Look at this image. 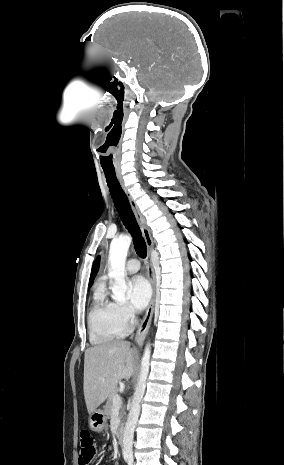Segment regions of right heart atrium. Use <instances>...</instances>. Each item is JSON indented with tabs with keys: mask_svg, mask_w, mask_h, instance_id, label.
<instances>
[{
	"mask_svg": "<svg viewBox=\"0 0 284 465\" xmlns=\"http://www.w3.org/2000/svg\"><path fill=\"white\" fill-rule=\"evenodd\" d=\"M115 308L117 315L124 326H130L134 323L135 317L126 306L115 304Z\"/></svg>",
	"mask_w": 284,
	"mask_h": 465,
	"instance_id": "obj_1",
	"label": "right heart atrium"
}]
</instances>
